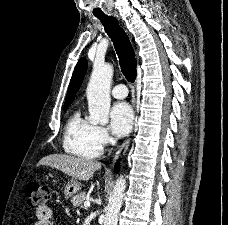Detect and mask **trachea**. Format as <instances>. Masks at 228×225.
I'll list each match as a JSON object with an SVG mask.
<instances>
[{
    "mask_svg": "<svg viewBox=\"0 0 228 225\" xmlns=\"http://www.w3.org/2000/svg\"><path fill=\"white\" fill-rule=\"evenodd\" d=\"M100 20L115 46L123 75L129 82L133 83L136 79L137 62L128 35L114 17L101 18Z\"/></svg>",
    "mask_w": 228,
    "mask_h": 225,
    "instance_id": "1",
    "label": "trachea"
}]
</instances>
